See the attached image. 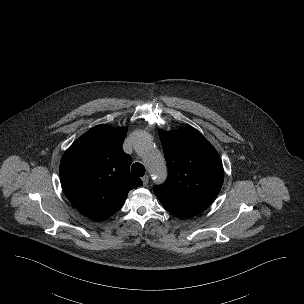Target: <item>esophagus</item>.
I'll return each instance as SVG.
<instances>
[{
    "mask_svg": "<svg viewBox=\"0 0 304 304\" xmlns=\"http://www.w3.org/2000/svg\"><path fill=\"white\" fill-rule=\"evenodd\" d=\"M148 181H149L148 175H145V176L142 177V182H143L144 186H146L148 184Z\"/></svg>",
    "mask_w": 304,
    "mask_h": 304,
    "instance_id": "esophagus-1",
    "label": "esophagus"
}]
</instances>
